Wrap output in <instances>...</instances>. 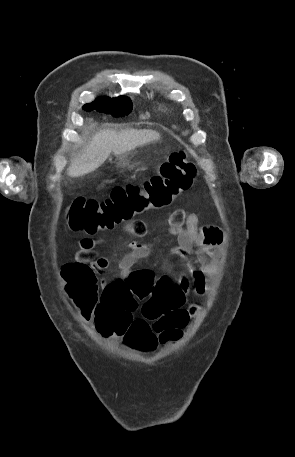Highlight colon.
<instances>
[{
    "label": "colon",
    "instance_id": "5ec220e1",
    "mask_svg": "<svg viewBox=\"0 0 295 457\" xmlns=\"http://www.w3.org/2000/svg\"><path fill=\"white\" fill-rule=\"evenodd\" d=\"M195 174V165L186 152H173L159 172L140 185L115 187L103 200L74 199L66 215L67 226L92 235L130 222L148 210L168 207L191 187ZM62 276L70 298L83 315L94 314L102 335L123 338L134 347L136 355L156 353L159 343L180 338L187 324L188 312L175 299L176 286L168 277L156 276L151 270L137 269L125 281L106 284L100 299L95 269L88 263H67ZM137 299L146 300L143 318L133 319Z\"/></svg>",
    "mask_w": 295,
    "mask_h": 457
}]
</instances>
